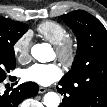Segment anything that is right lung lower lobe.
I'll list each match as a JSON object with an SVG mask.
<instances>
[{"mask_svg":"<svg viewBox=\"0 0 107 107\" xmlns=\"http://www.w3.org/2000/svg\"><path fill=\"white\" fill-rule=\"evenodd\" d=\"M37 92L38 85L34 82L20 84L11 92L7 90L4 94L0 93V107H18L22 100L35 96Z\"/></svg>","mask_w":107,"mask_h":107,"instance_id":"98d812e1","label":"right lung lower lobe"}]
</instances>
